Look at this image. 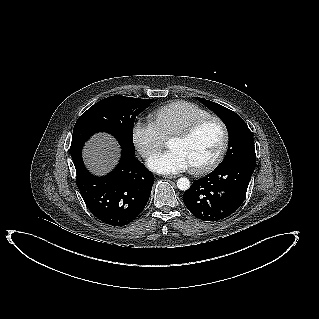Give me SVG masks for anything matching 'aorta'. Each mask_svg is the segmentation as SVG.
<instances>
[{
    "mask_svg": "<svg viewBox=\"0 0 319 319\" xmlns=\"http://www.w3.org/2000/svg\"><path fill=\"white\" fill-rule=\"evenodd\" d=\"M177 187L182 190H188L190 188V181L189 179L182 177L180 179L177 180Z\"/></svg>",
    "mask_w": 319,
    "mask_h": 319,
    "instance_id": "1",
    "label": "aorta"
}]
</instances>
